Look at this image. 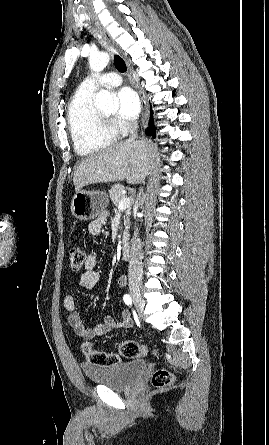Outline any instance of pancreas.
I'll return each mask as SVG.
<instances>
[{"label":"pancreas","mask_w":269,"mask_h":445,"mask_svg":"<svg viewBox=\"0 0 269 445\" xmlns=\"http://www.w3.org/2000/svg\"><path fill=\"white\" fill-rule=\"evenodd\" d=\"M124 186L120 184H116L112 186V188L109 190L110 199L115 204V206H118L119 202L125 197L123 194ZM126 213V220H125V231L123 236V241L128 240V229H129V217L131 215V207H128V209L125 211Z\"/></svg>","instance_id":"pancreas-1"}]
</instances>
